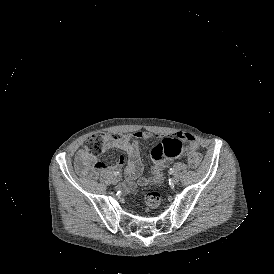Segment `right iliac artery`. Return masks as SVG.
Listing matches in <instances>:
<instances>
[{
	"label": "right iliac artery",
	"instance_id": "right-iliac-artery-1",
	"mask_svg": "<svg viewBox=\"0 0 274 274\" xmlns=\"http://www.w3.org/2000/svg\"><path fill=\"white\" fill-rule=\"evenodd\" d=\"M114 175H115V176H118V175H119V172H118V171H115V172H114Z\"/></svg>",
	"mask_w": 274,
	"mask_h": 274
}]
</instances>
